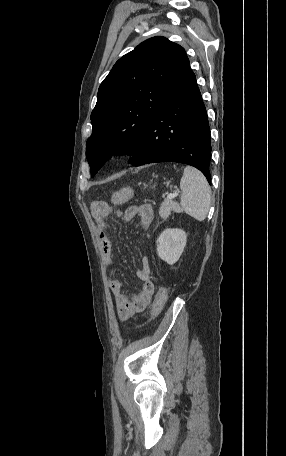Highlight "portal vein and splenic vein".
Here are the masks:
<instances>
[{
	"mask_svg": "<svg viewBox=\"0 0 286 456\" xmlns=\"http://www.w3.org/2000/svg\"><path fill=\"white\" fill-rule=\"evenodd\" d=\"M178 195H179L178 192L170 193V194L167 196V199H169V200H170V199H173V198L177 197Z\"/></svg>",
	"mask_w": 286,
	"mask_h": 456,
	"instance_id": "portal-vein-and-splenic-vein-1",
	"label": "portal vein and splenic vein"
}]
</instances>
